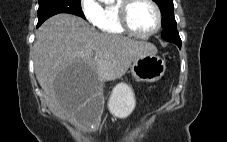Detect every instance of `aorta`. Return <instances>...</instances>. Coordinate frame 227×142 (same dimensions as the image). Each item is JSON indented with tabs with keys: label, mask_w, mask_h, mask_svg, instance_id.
Returning <instances> with one entry per match:
<instances>
[{
	"label": "aorta",
	"mask_w": 227,
	"mask_h": 142,
	"mask_svg": "<svg viewBox=\"0 0 227 142\" xmlns=\"http://www.w3.org/2000/svg\"><path fill=\"white\" fill-rule=\"evenodd\" d=\"M106 3L114 2V0H104Z\"/></svg>",
	"instance_id": "1"
}]
</instances>
